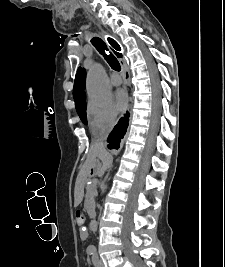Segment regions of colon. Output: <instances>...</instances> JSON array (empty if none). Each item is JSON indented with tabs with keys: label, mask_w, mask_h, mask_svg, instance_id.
<instances>
[{
	"label": "colon",
	"mask_w": 225,
	"mask_h": 267,
	"mask_svg": "<svg viewBox=\"0 0 225 267\" xmlns=\"http://www.w3.org/2000/svg\"><path fill=\"white\" fill-rule=\"evenodd\" d=\"M75 221L78 226H82L84 224V216L81 212L77 211L75 214Z\"/></svg>",
	"instance_id": "obj_1"
}]
</instances>
